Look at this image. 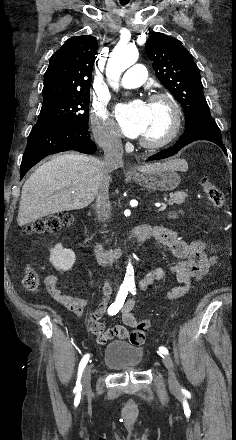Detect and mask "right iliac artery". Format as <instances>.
Wrapping results in <instances>:
<instances>
[{
  "label": "right iliac artery",
  "mask_w": 236,
  "mask_h": 440,
  "mask_svg": "<svg viewBox=\"0 0 236 440\" xmlns=\"http://www.w3.org/2000/svg\"><path fill=\"white\" fill-rule=\"evenodd\" d=\"M129 290H130V287L128 285H121V287L118 291L116 300L108 308L109 315L113 316L119 312V310L123 307V304L125 302V299L127 297ZM89 357H90V355L86 354L83 356V358L80 361L79 368H78V378H77L76 386L74 388V392H76V393H79L82 390V385H81L80 380L82 377L83 370L89 361Z\"/></svg>",
  "instance_id": "1"
}]
</instances>
